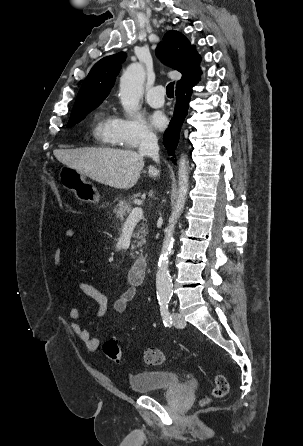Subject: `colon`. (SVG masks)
Returning <instances> with one entry per match:
<instances>
[{"label":"colon","instance_id":"colon-1","mask_svg":"<svg viewBox=\"0 0 303 446\" xmlns=\"http://www.w3.org/2000/svg\"><path fill=\"white\" fill-rule=\"evenodd\" d=\"M49 186L62 204L64 196L58 186L52 181H49ZM105 355L114 363L121 364L124 360L123 352L114 339H108L103 345ZM144 362L150 366H158L163 364L167 357L166 354L158 348H147L143 354ZM228 393V382L224 375L217 374L214 378V387L212 389L211 397L214 399L223 398ZM210 398L203 399L202 403L206 404Z\"/></svg>","mask_w":303,"mask_h":446}]
</instances>
